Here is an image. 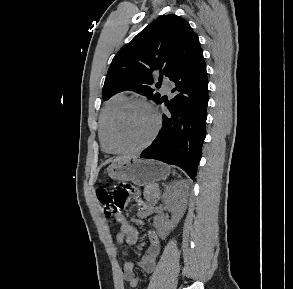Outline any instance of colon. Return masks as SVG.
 <instances>
[{"label":"colon","instance_id":"obj_1","mask_svg":"<svg viewBox=\"0 0 293 289\" xmlns=\"http://www.w3.org/2000/svg\"><path fill=\"white\" fill-rule=\"evenodd\" d=\"M136 193V188L131 184H118L112 192L105 188H98L96 196L101 210L106 217H112L117 212L123 210L132 195ZM136 205L139 206L138 200Z\"/></svg>","mask_w":293,"mask_h":289}]
</instances>
